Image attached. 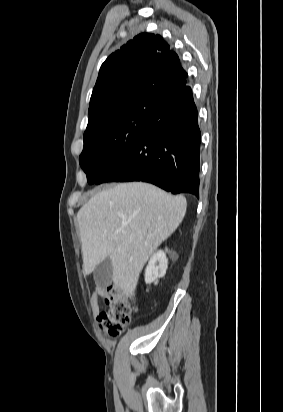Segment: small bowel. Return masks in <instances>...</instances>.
Listing matches in <instances>:
<instances>
[{
	"label": "small bowel",
	"instance_id": "c3829d8e",
	"mask_svg": "<svg viewBox=\"0 0 283 412\" xmlns=\"http://www.w3.org/2000/svg\"><path fill=\"white\" fill-rule=\"evenodd\" d=\"M104 295H105L104 289H102V288H100V287H97V288L95 289V296H94V298H93V300H92V305H93V308H94L95 310H98V308H99L98 298H99V297H103Z\"/></svg>",
	"mask_w": 283,
	"mask_h": 412
}]
</instances>
